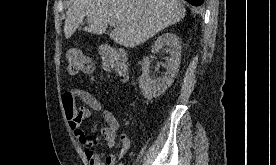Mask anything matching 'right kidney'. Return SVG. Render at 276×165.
Listing matches in <instances>:
<instances>
[{
  "label": "right kidney",
  "mask_w": 276,
  "mask_h": 165,
  "mask_svg": "<svg viewBox=\"0 0 276 165\" xmlns=\"http://www.w3.org/2000/svg\"><path fill=\"white\" fill-rule=\"evenodd\" d=\"M160 49H166L170 54L169 59L164 64L166 69L164 76L152 80L149 75V57H144L142 62V75L139 78V87L143 96L148 100L160 97L172 85L179 71L182 49L179 37L173 33L161 35L152 46V52H158Z\"/></svg>",
  "instance_id": "ca27d5eb"
}]
</instances>
